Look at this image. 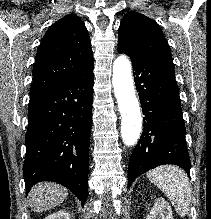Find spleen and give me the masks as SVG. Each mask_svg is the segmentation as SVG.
Listing matches in <instances>:
<instances>
[{"label":"spleen","mask_w":211,"mask_h":219,"mask_svg":"<svg viewBox=\"0 0 211 219\" xmlns=\"http://www.w3.org/2000/svg\"><path fill=\"white\" fill-rule=\"evenodd\" d=\"M169 198L176 212L185 216L190 210L191 188L187 174L175 166H161L147 174Z\"/></svg>","instance_id":"1"}]
</instances>
